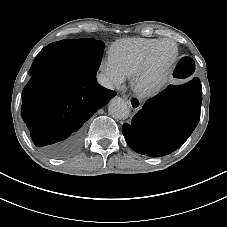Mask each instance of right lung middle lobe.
I'll return each mask as SVG.
<instances>
[{"mask_svg": "<svg viewBox=\"0 0 227 227\" xmlns=\"http://www.w3.org/2000/svg\"><path fill=\"white\" fill-rule=\"evenodd\" d=\"M72 48L68 59V64L76 67V72L96 75L101 63L104 43L95 40L82 38L72 40ZM43 72L37 68L31 67L30 76L42 74Z\"/></svg>", "mask_w": 227, "mask_h": 227, "instance_id": "dd1d6c3e", "label": "right lung middle lobe"}]
</instances>
